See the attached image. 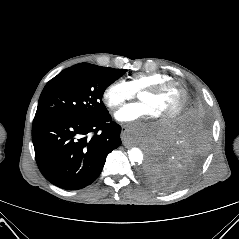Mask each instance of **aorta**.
I'll return each mask as SVG.
<instances>
[{"label":"aorta","mask_w":239,"mask_h":239,"mask_svg":"<svg viewBox=\"0 0 239 239\" xmlns=\"http://www.w3.org/2000/svg\"><path fill=\"white\" fill-rule=\"evenodd\" d=\"M128 157L131 162H135L138 164H141L144 159L143 152L137 147H133L128 150Z\"/></svg>","instance_id":"762f6f07"}]
</instances>
